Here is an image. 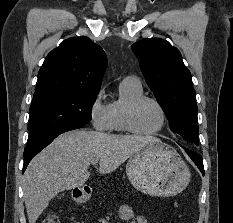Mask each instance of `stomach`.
<instances>
[{
    "label": "stomach",
    "instance_id": "0dacf381",
    "mask_svg": "<svg viewBox=\"0 0 233 223\" xmlns=\"http://www.w3.org/2000/svg\"><path fill=\"white\" fill-rule=\"evenodd\" d=\"M127 177L138 191L146 195H176L187 187L191 173L179 153L162 141L146 143L126 163ZM76 197H85L75 187Z\"/></svg>",
    "mask_w": 233,
    "mask_h": 223
}]
</instances>
